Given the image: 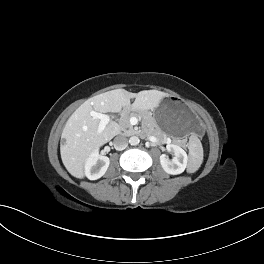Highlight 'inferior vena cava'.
Segmentation results:
<instances>
[{
	"label": "inferior vena cava",
	"instance_id": "obj_1",
	"mask_svg": "<svg viewBox=\"0 0 264 264\" xmlns=\"http://www.w3.org/2000/svg\"><path fill=\"white\" fill-rule=\"evenodd\" d=\"M128 146V139L125 136L119 135L114 139V147L116 150H124Z\"/></svg>",
	"mask_w": 264,
	"mask_h": 264
}]
</instances>
